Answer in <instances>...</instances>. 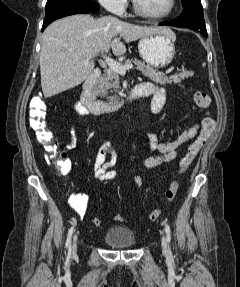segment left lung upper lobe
Returning a JSON list of instances; mask_svg holds the SVG:
<instances>
[{
	"label": "left lung upper lobe",
	"instance_id": "5c2ea615",
	"mask_svg": "<svg viewBox=\"0 0 240 287\" xmlns=\"http://www.w3.org/2000/svg\"><path fill=\"white\" fill-rule=\"evenodd\" d=\"M193 1V0H182V5H185L186 3Z\"/></svg>",
	"mask_w": 240,
	"mask_h": 287
}]
</instances>
